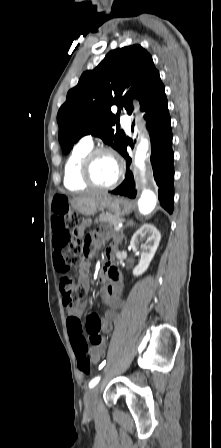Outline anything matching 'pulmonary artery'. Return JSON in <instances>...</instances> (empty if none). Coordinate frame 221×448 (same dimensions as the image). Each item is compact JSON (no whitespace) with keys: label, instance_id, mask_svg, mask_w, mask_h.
<instances>
[{"label":"pulmonary artery","instance_id":"e3ab8cb5","mask_svg":"<svg viewBox=\"0 0 221 448\" xmlns=\"http://www.w3.org/2000/svg\"><path fill=\"white\" fill-rule=\"evenodd\" d=\"M121 122L122 124L125 126L126 130L129 131L130 130V121L128 119V117L125 114L121 113ZM81 142L86 143L88 145H93V139L90 135H86L81 139Z\"/></svg>","mask_w":221,"mask_h":448}]
</instances>
